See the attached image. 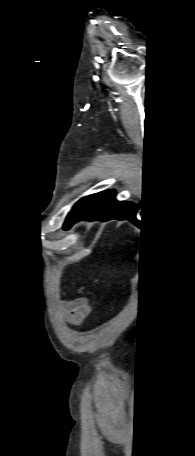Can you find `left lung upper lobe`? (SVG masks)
<instances>
[{"label": "left lung upper lobe", "mask_w": 195, "mask_h": 456, "mask_svg": "<svg viewBox=\"0 0 195 456\" xmlns=\"http://www.w3.org/2000/svg\"><path fill=\"white\" fill-rule=\"evenodd\" d=\"M96 194L86 196L79 200L71 210V213L67 216V219L70 218L73 214L78 212L84 205H86Z\"/></svg>", "instance_id": "left-lung-upper-lobe-1"}]
</instances>
